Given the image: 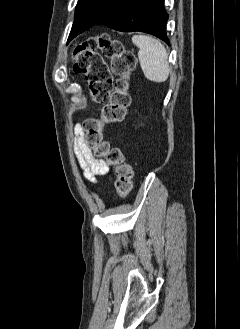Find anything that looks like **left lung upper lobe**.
I'll use <instances>...</instances> for the list:
<instances>
[{
  "label": "left lung upper lobe",
  "instance_id": "5c2ea615",
  "mask_svg": "<svg viewBox=\"0 0 240 329\" xmlns=\"http://www.w3.org/2000/svg\"><path fill=\"white\" fill-rule=\"evenodd\" d=\"M120 0H78L68 43L99 22Z\"/></svg>",
  "mask_w": 240,
  "mask_h": 329
}]
</instances>
